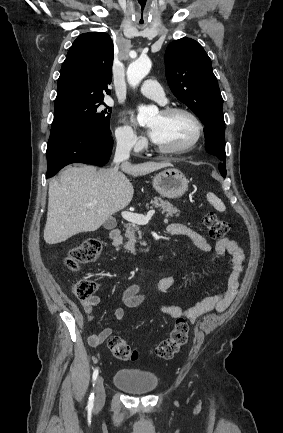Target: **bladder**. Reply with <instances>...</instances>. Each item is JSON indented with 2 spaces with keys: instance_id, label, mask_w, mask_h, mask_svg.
Segmentation results:
<instances>
[{
  "instance_id": "bladder-1",
  "label": "bladder",
  "mask_w": 283,
  "mask_h": 433,
  "mask_svg": "<svg viewBox=\"0 0 283 433\" xmlns=\"http://www.w3.org/2000/svg\"><path fill=\"white\" fill-rule=\"evenodd\" d=\"M114 383L126 392L148 393L157 386L158 378L152 371L121 367L115 374Z\"/></svg>"
}]
</instances>
